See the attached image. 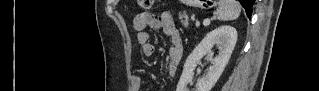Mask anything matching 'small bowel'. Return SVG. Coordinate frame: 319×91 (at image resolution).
<instances>
[{
	"label": "small bowel",
	"instance_id": "c3829d8e",
	"mask_svg": "<svg viewBox=\"0 0 319 91\" xmlns=\"http://www.w3.org/2000/svg\"><path fill=\"white\" fill-rule=\"evenodd\" d=\"M134 25L138 30L137 43L145 57H151L154 54L155 47L149 40V34L145 31L146 28L160 29L168 37L170 46L167 57V72L170 76H175L179 62L182 58V38L178 28L176 27L172 15L169 12H163L159 15L151 13H139L134 20ZM134 91L143 90L144 80L134 74L131 77Z\"/></svg>",
	"mask_w": 319,
	"mask_h": 91
}]
</instances>
